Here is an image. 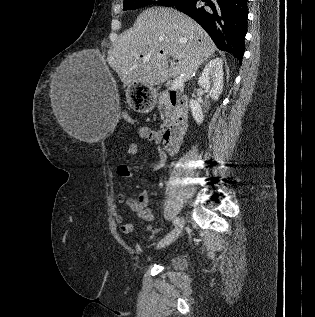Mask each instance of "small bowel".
<instances>
[{
    "instance_id": "c3829d8e",
    "label": "small bowel",
    "mask_w": 315,
    "mask_h": 317,
    "mask_svg": "<svg viewBox=\"0 0 315 317\" xmlns=\"http://www.w3.org/2000/svg\"><path fill=\"white\" fill-rule=\"evenodd\" d=\"M137 134L145 139L147 142L154 143L157 146L158 151V163L155 165L154 169L156 171L162 169L167 160V154L160 147L161 136L160 134L147 126L136 127ZM139 153V146L136 143H131L127 146L126 154L128 156H135ZM117 174L122 179L130 178L132 173L127 165H119L117 167ZM117 200L123 202L125 200L124 193L120 192L117 194ZM148 201L147 192H142L139 196V208L137 210L138 216H141V211L145 208ZM115 221L120 224V229L124 234H131L134 230V227L131 223L124 222V218L120 213L115 214ZM146 230L150 232H156L151 226H146Z\"/></svg>"
}]
</instances>
